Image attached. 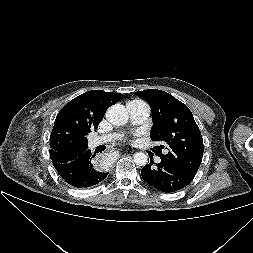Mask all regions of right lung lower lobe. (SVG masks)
I'll return each instance as SVG.
<instances>
[{
    "instance_id": "1",
    "label": "right lung lower lobe",
    "mask_w": 253,
    "mask_h": 253,
    "mask_svg": "<svg viewBox=\"0 0 253 253\" xmlns=\"http://www.w3.org/2000/svg\"><path fill=\"white\" fill-rule=\"evenodd\" d=\"M93 157L87 150L68 161H53V165L66 183L76 188H87L98 184L108 175L94 166Z\"/></svg>"
}]
</instances>
